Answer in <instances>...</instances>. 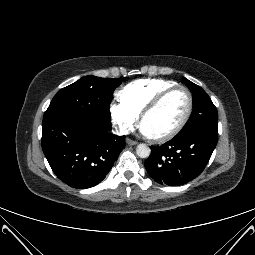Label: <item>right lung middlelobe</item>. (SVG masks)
<instances>
[{
    "mask_svg": "<svg viewBox=\"0 0 255 255\" xmlns=\"http://www.w3.org/2000/svg\"><path fill=\"white\" fill-rule=\"evenodd\" d=\"M120 84L112 78L85 76L57 92L44 118L56 114H77L101 126H110L109 105L112 92Z\"/></svg>",
    "mask_w": 255,
    "mask_h": 255,
    "instance_id": "1",
    "label": "right lung middle lobe"
}]
</instances>
